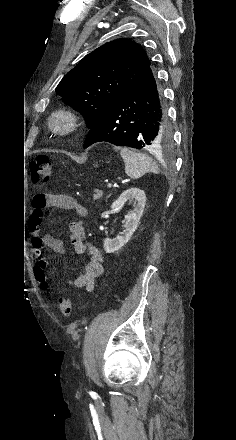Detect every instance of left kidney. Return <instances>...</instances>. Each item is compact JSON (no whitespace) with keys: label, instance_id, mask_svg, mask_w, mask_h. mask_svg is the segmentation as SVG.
<instances>
[{"label":"left kidney","instance_id":"5707ae66","mask_svg":"<svg viewBox=\"0 0 236 440\" xmlns=\"http://www.w3.org/2000/svg\"><path fill=\"white\" fill-rule=\"evenodd\" d=\"M128 200L134 204V208L125 216V229L122 235H118L114 239H104V250L106 253H113L121 249L131 239L137 229L145 207V192L139 188H130L124 191L119 198L112 203L111 208L114 211H119Z\"/></svg>","mask_w":236,"mask_h":440}]
</instances>
